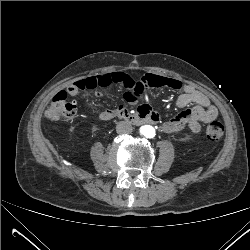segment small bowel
I'll return each mask as SVG.
<instances>
[{"mask_svg":"<svg viewBox=\"0 0 250 250\" xmlns=\"http://www.w3.org/2000/svg\"><path fill=\"white\" fill-rule=\"evenodd\" d=\"M163 78L166 79L165 86L182 90V94L176 100V105L182 108V111L164 122L162 126L164 132L173 133L188 127L192 132L197 133L201 130V123H211L218 117V110L209 97L196 87L184 84L175 78ZM136 82H139V80H136ZM129 89L130 91L127 93L129 100H135L141 93L136 89L134 82L130 83Z\"/></svg>","mask_w":250,"mask_h":250,"instance_id":"c3829d8e","label":"small bowel"}]
</instances>
